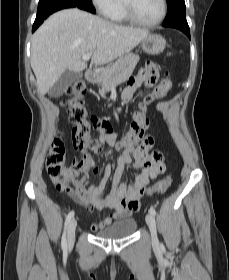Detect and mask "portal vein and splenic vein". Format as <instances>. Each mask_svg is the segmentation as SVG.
Instances as JSON below:
<instances>
[{
	"instance_id": "obj_1",
	"label": "portal vein and splenic vein",
	"mask_w": 229,
	"mask_h": 280,
	"mask_svg": "<svg viewBox=\"0 0 229 280\" xmlns=\"http://www.w3.org/2000/svg\"><path fill=\"white\" fill-rule=\"evenodd\" d=\"M91 55H92V53H91V52L86 53V54H84V55L82 56V59H83L84 61H87V60H89V59H90Z\"/></svg>"
}]
</instances>
